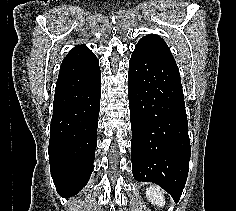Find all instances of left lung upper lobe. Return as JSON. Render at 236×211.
<instances>
[{"label": "left lung upper lobe", "mask_w": 236, "mask_h": 211, "mask_svg": "<svg viewBox=\"0 0 236 211\" xmlns=\"http://www.w3.org/2000/svg\"><path fill=\"white\" fill-rule=\"evenodd\" d=\"M135 48H142L156 54L174 59L165 41L154 34L142 37Z\"/></svg>", "instance_id": "left-lung-upper-lobe-1"}]
</instances>
